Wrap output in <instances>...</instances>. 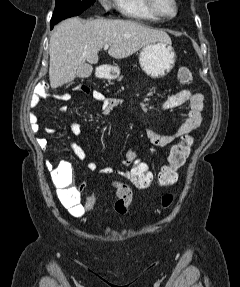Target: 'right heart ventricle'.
Returning a JSON list of instances; mask_svg holds the SVG:
<instances>
[{
	"instance_id": "1",
	"label": "right heart ventricle",
	"mask_w": 240,
	"mask_h": 287,
	"mask_svg": "<svg viewBox=\"0 0 240 287\" xmlns=\"http://www.w3.org/2000/svg\"><path fill=\"white\" fill-rule=\"evenodd\" d=\"M114 4L123 17L153 22L159 20L148 10L145 0H114Z\"/></svg>"
}]
</instances>
